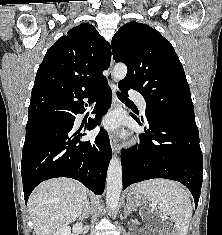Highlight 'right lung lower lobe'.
Segmentation results:
<instances>
[{
	"instance_id": "obj_1",
	"label": "right lung lower lobe",
	"mask_w": 222,
	"mask_h": 235,
	"mask_svg": "<svg viewBox=\"0 0 222 235\" xmlns=\"http://www.w3.org/2000/svg\"><path fill=\"white\" fill-rule=\"evenodd\" d=\"M112 92L107 80L94 89L61 101L51 116L57 125L26 135L22 153L21 175L25 203L42 181L69 177L76 179L97 195L104 191L112 150L107 132L101 128L91 140H82L85 130H92L110 107ZM84 98L96 100L94 119L77 129L75 115L83 113Z\"/></svg>"
}]
</instances>
